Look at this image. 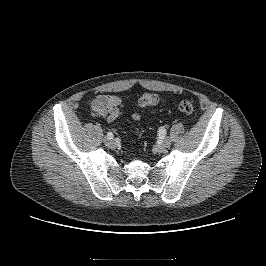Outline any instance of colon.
Here are the masks:
<instances>
[{
	"label": "colon",
	"instance_id": "colon-1",
	"mask_svg": "<svg viewBox=\"0 0 266 266\" xmlns=\"http://www.w3.org/2000/svg\"><path fill=\"white\" fill-rule=\"evenodd\" d=\"M158 103V96L154 93H144L138 99V105L140 107H152ZM179 109L183 113L190 114L194 109V102L191 99H184L179 103Z\"/></svg>",
	"mask_w": 266,
	"mask_h": 266
}]
</instances>
